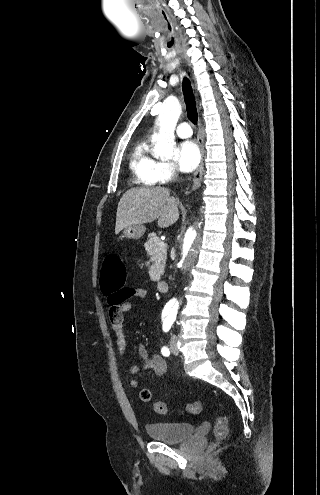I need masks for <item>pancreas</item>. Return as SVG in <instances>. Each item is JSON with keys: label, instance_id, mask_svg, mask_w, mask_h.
I'll list each match as a JSON object with an SVG mask.
<instances>
[{"label": "pancreas", "instance_id": "obj_1", "mask_svg": "<svg viewBox=\"0 0 320 495\" xmlns=\"http://www.w3.org/2000/svg\"><path fill=\"white\" fill-rule=\"evenodd\" d=\"M161 240L156 236L155 233L149 234V239L144 244L145 250L147 254L151 256V260L153 264L151 265V270H156V276L159 277L165 267L166 258H167V247L166 245L160 247L158 243Z\"/></svg>", "mask_w": 320, "mask_h": 495}]
</instances>
